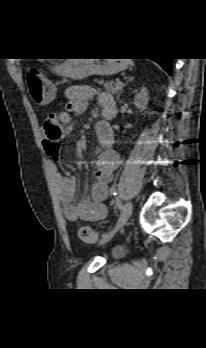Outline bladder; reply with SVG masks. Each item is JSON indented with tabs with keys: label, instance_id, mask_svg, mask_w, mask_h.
I'll use <instances>...</instances> for the list:
<instances>
[{
	"label": "bladder",
	"instance_id": "bladder-1",
	"mask_svg": "<svg viewBox=\"0 0 206 348\" xmlns=\"http://www.w3.org/2000/svg\"><path fill=\"white\" fill-rule=\"evenodd\" d=\"M115 254L119 255V254H121V252L117 250V251H115Z\"/></svg>",
	"mask_w": 206,
	"mask_h": 348
}]
</instances>
